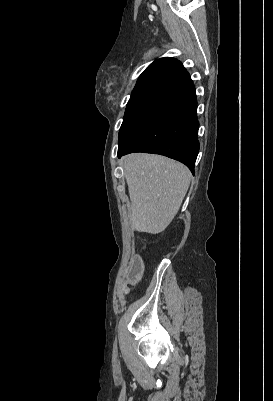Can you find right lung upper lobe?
Listing matches in <instances>:
<instances>
[{
  "mask_svg": "<svg viewBox=\"0 0 273 401\" xmlns=\"http://www.w3.org/2000/svg\"><path fill=\"white\" fill-rule=\"evenodd\" d=\"M193 82L180 61L164 57L155 60L140 75L131 96L155 94L171 97Z\"/></svg>",
  "mask_w": 273,
  "mask_h": 401,
  "instance_id": "right-lung-upper-lobe-1",
  "label": "right lung upper lobe"
}]
</instances>
